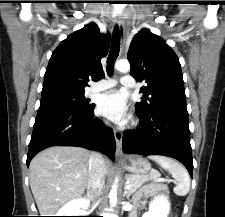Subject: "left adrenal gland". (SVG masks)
Instances as JSON below:
<instances>
[{
    "label": "left adrenal gland",
    "instance_id": "left-adrenal-gland-1",
    "mask_svg": "<svg viewBox=\"0 0 225 217\" xmlns=\"http://www.w3.org/2000/svg\"><path fill=\"white\" fill-rule=\"evenodd\" d=\"M124 194H127V193H126V191H125V193H124ZM128 196H129V195H127V198H128Z\"/></svg>",
    "mask_w": 225,
    "mask_h": 217
}]
</instances>
